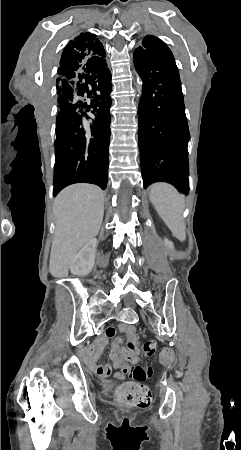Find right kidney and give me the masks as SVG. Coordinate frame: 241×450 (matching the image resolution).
<instances>
[{
	"label": "right kidney",
	"instance_id": "1",
	"mask_svg": "<svg viewBox=\"0 0 241 450\" xmlns=\"http://www.w3.org/2000/svg\"><path fill=\"white\" fill-rule=\"evenodd\" d=\"M97 248V240H89L88 244L83 246L82 250L76 254L72 264L70 266L71 274L74 276H87L91 272L94 262Z\"/></svg>",
	"mask_w": 241,
	"mask_h": 450
}]
</instances>
